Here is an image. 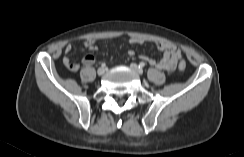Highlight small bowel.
<instances>
[{
	"label": "small bowel",
	"instance_id": "obj_1",
	"mask_svg": "<svg viewBox=\"0 0 244 157\" xmlns=\"http://www.w3.org/2000/svg\"><path fill=\"white\" fill-rule=\"evenodd\" d=\"M130 44H142L143 40L137 37H132L129 39ZM83 45L90 50H96L98 48V41L95 39L85 40ZM155 46L157 49L164 53L163 57L159 61H155L153 58L148 56H141V58L146 61L151 66L156 67L159 70L172 71L176 68L178 61L181 58V51L179 48L170 42H156ZM72 50V45L68 44L65 47V52L69 53ZM128 54L134 56V51L129 50ZM95 62V58L91 54H87L83 57L82 63L84 66H91ZM63 64L71 71H76L78 66L72 64L68 57L63 58Z\"/></svg>",
	"mask_w": 244,
	"mask_h": 157
}]
</instances>
